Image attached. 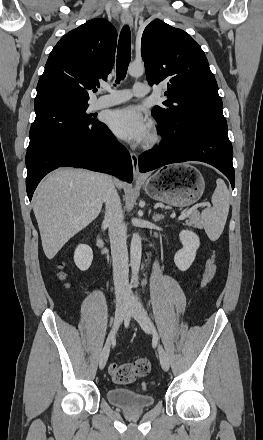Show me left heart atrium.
Returning <instances> with one entry per match:
<instances>
[{"instance_id":"39dd6f15","label":"left heart atrium","mask_w":263,"mask_h":440,"mask_svg":"<svg viewBox=\"0 0 263 440\" xmlns=\"http://www.w3.org/2000/svg\"><path fill=\"white\" fill-rule=\"evenodd\" d=\"M108 123L117 136L130 142L143 141L151 128L149 119L137 106H127L112 111Z\"/></svg>"}]
</instances>
